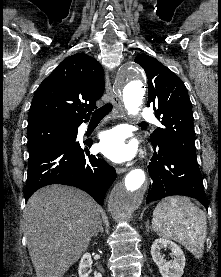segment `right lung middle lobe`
Returning a JSON list of instances; mask_svg holds the SVG:
<instances>
[{
    "label": "right lung middle lobe",
    "mask_w": 221,
    "mask_h": 277,
    "mask_svg": "<svg viewBox=\"0 0 221 277\" xmlns=\"http://www.w3.org/2000/svg\"><path fill=\"white\" fill-rule=\"evenodd\" d=\"M76 131L72 124L63 122L49 121L28 125V152L30 154L50 144L63 141Z\"/></svg>",
    "instance_id": "obj_1"
}]
</instances>
